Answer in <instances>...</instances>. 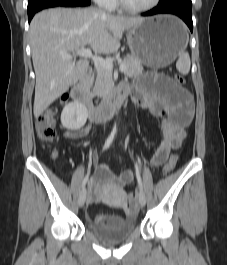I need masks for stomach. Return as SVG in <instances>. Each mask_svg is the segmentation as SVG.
<instances>
[{
  "mask_svg": "<svg viewBox=\"0 0 227 265\" xmlns=\"http://www.w3.org/2000/svg\"><path fill=\"white\" fill-rule=\"evenodd\" d=\"M187 40L188 34L182 21L172 15L144 19L127 32V42L133 57L156 69L170 65Z\"/></svg>",
  "mask_w": 227,
  "mask_h": 265,
  "instance_id": "obj_1",
  "label": "stomach"
}]
</instances>
